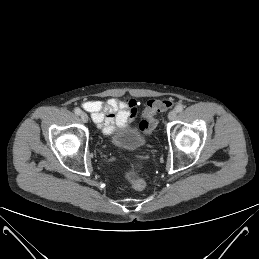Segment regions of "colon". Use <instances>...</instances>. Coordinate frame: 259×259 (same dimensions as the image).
Instances as JSON below:
<instances>
[{"label": "colon", "instance_id": "colon-1", "mask_svg": "<svg viewBox=\"0 0 259 259\" xmlns=\"http://www.w3.org/2000/svg\"><path fill=\"white\" fill-rule=\"evenodd\" d=\"M173 105L174 101L171 98L149 100L143 111V119L139 124L140 130L144 134H151L157 125L156 114L172 108ZM123 176L126 182L135 190H143L146 186L145 180L132 169L125 170Z\"/></svg>", "mask_w": 259, "mask_h": 259}]
</instances>
